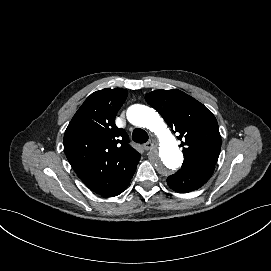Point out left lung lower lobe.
Instances as JSON below:
<instances>
[{"mask_svg":"<svg viewBox=\"0 0 271 271\" xmlns=\"http://www.w3.org/2000/svg\"><path fill=\"white\" fill-rule=\"evenodd\" d=\"M214 169L191 171L180 169L167 178L168 186L178 193H189L202 187L212 176Z\"/></svg>","mask_w":271,"mask_h":271,"instance_id":"1","label":"left lung lower lobe"}]
</instances>
